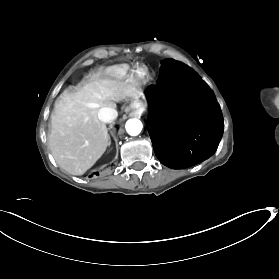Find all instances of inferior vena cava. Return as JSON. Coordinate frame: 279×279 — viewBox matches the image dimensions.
<instances>
[{
	"label": "inferior vena cava",
	"instance_id": "inferior-vena-cava-1",
	"mask_svg": "<svg viewBox=\"0 0 279 279\" xmlns=\"http://www.w3.org/2000/svg\"><path fill=\"white\" fill-rule=\"evenodd\" d=\"M118 116L117 111L112 110L110 107H103L98 111V118L105 123H114ZM113 121V122H112Z\"/></svg>",
	"mask_w": 279,
	"mask_h": 279
}]
</instances>
